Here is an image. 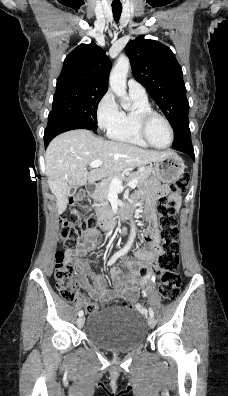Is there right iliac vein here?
<instances>
[{"instance_id": "obj_1", "label": "right iliac vein", "mask_w": 228, "mask_h": 396, "mask_svg": "<svg viewBox=\"0 0 228 396\" xmlns=\"http://www.w3.org/2000/svg\"><path fill=\"white\" fill-rule=\"evenodd\" d=\"M84 322H85V318L83 317V316H80L78 319H77V325H78V327H83V325H84Z\"/></svg>"}]
</instances>
